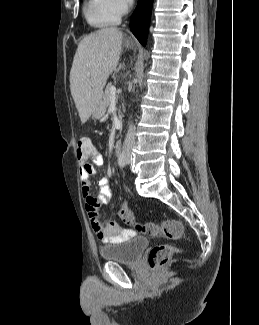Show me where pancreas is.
Returning a JSON list of instances; mask_svg holds the SVG:
<instances>
[{
	"label": "pancreas",
	"mask_w": 259,
	"mask_h": 325,
	"mask_svg": "<svg viewBox=\"0 0 259 325\" xmlns=\"http://www.w3.org/2000/svg\"><path fill=\"white\" fill-rule=\"evenodd\" d=\"M111 84H108L107 86H106V89H105V93H104V95H103V103H104V105L106 106V107H108L109 106V104H110V101H111V92H110V88H111ZM119 112H120V110H119Z\"/></svg>",
	"instance_id": "cf45deb5"
}]
</instances>
